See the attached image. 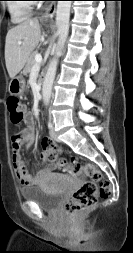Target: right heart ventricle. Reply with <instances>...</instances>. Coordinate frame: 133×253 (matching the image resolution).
Segmentation results:
<instances>
[{"label": "right heart ventricle", "mask_w": 133, "mask_h": 253, "mask_svg": "<svg viewBox=\"0 0 133 253\" xmlns=\"http://www.w3.org/2000/svg\"><path fill=\"white\" fill-rule=\"evenodd\" d=\"M8 9L12 21L15 23L25 21L31 16L32 13L31 3L25 0H13L9 2Z\"/></svg>", "instance_id": "obj_1"}]
</instances>
